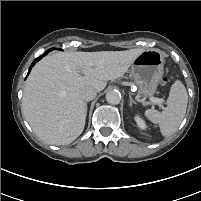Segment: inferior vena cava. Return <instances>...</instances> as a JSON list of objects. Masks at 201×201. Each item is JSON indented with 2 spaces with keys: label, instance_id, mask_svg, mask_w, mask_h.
I'll use <instances>...</instances> for the list:
<instances>
[{
  "label": "inferior vena cava",
  "instance_id": "1",
  "mask_svg": "<svg viewBox=\"0 0 201 201\" xmlns=\"http://www.w3.org/2000/svg\"><path fill=\"white\" fill-rule=\"evenodd\" d=\"M80 96L84 101H90L96 97V91L90 87H85L80 91Z\"/></svg>",
  "mask_w": 201,
  "mask_h": 201
}]
</instances>
